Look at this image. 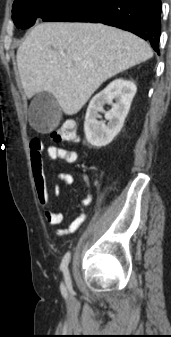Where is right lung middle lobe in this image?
Listing matches in <instances>:
<instances>
[{
	"label": "right lung middle lobe",
	"instance_id": "obj_1",
	"mask_svg": "<svg viewBox=\"0 0 171 337\" xmlns=\"http://www.w3.org/2000/svg\"><path fill=\"white\" fill-rule=\"evenodd\" d=\"M67 0H15L12 18L17 28H29L37 19H45Z\"/></svg>",
	"mask_w": 171,
	"mask_h": 337
}]
</instances>
